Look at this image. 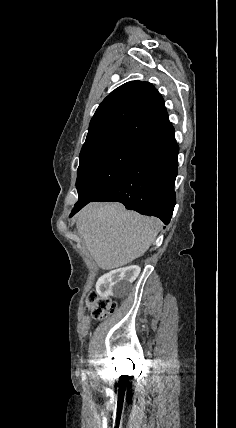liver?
Segmentation results:
<instances>
[{
  "label": "liver",
  "mask_w": 236,
  "mask_h": 428,
  "mask_svg": "<svg viewBox=\"0 0 236 428\" xmlns=\"http://www.w3.org/2000/svg\"><path fill=\"white\" fill-rule=\"evenodd\" d=\"M76 228L102 270L120 268L143 256L162 222L125 210L123 204H88L76 216Z\"/></svg>",
  "instance_id": "1"
}]
</instances>
